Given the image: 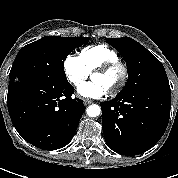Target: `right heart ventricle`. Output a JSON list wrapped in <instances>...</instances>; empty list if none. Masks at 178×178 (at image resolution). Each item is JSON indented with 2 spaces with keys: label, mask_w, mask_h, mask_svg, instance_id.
<instances>
[{
  "label": "right heart ventricle",
  "mask_w": 178,
  "mask_h": 178,
  "mask_svg": "<svg viewBox=\"0 0 178 178\" xmlns=\"http://www.w3.org/2000/svg\"><path fill=\"white\" fill-rule=\"evenodd\" d=\"M79 57L89 73L104 63L119 60L118 53L111 47L104 44L84 47L80 51Z\"/></svg>",
  "instance_id": "right-heart-ventricle-1"
}]
</instances>
